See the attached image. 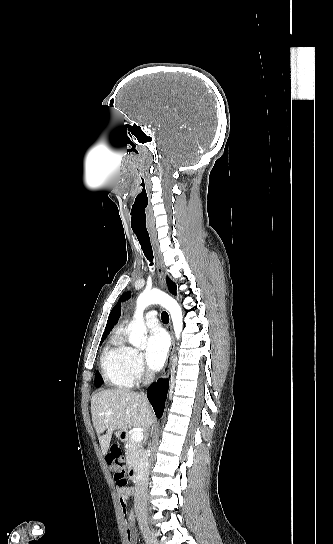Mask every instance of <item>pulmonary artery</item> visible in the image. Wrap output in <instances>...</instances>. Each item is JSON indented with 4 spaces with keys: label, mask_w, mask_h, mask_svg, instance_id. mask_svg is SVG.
Listing matches in <instances>:
<instances>
[{
    "label": "pulmonary artery",
    "mask_w": 333,
    "mask_h": 544,
    "mask_svg": "<svg viewBox=\"0 0 333 544\" xmlns=\"http://www.w3.org/2000/svg\"><path fill=\"white\" fill-rule=\"evenodd\" d=\"M145 325L149 329L156 330L158 328V319L155 311H149L145 316Z\"/></svg>",
    "instance_id": "obj_1"
}]
</instances>
